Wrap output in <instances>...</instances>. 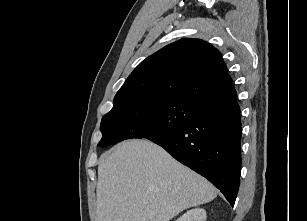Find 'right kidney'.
Returning <instances> with one entry per match:
<instances>
[{
	"label": "right kidney",
	"mask_w": 307,
	"mask_h": 221,
	"mask_svg": "<svg viewBox=\"0 0 307 221\" xmlns=\"http://www.w3.org/2000/svg\"><path fill=\"white\" fill-rule=\"evenodd\" d=\"M176 221H206V211L202 208H195L187 211Z\"/></svg>",
	"instance_id": "obj_1"
}]
</instances>
